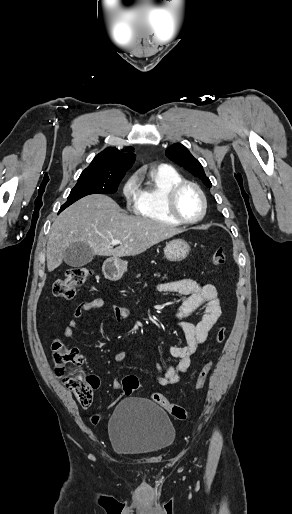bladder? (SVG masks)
<instances>
[{"instance_id": "bladder-1", "label": "bladder", "mask_w": 292, "mask_h": 514, "mask_svg": "<svg viewBox=\"0 0 292 514\" xmlns=\"http://www.w3.org/2000/svg\"><path fill=\"white\" fill-rule=\"evenodd\" d=\"M112 447L123 456H149L170 447L176 431L167 413L155 403L127 398L115 407L109 422Z\"/></svg>"}]
</instances>
